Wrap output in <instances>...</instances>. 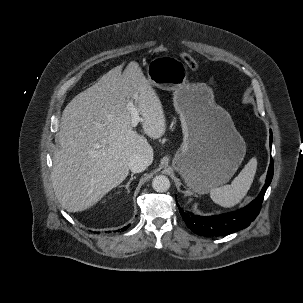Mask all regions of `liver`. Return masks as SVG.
<instances>
[{"label":"liver","instance_id":"6515ba94","mask_svg":"<svg viewBox=\"0 0 303 303\" xmlns=\"http://www.w3.org/2000/svg\"><path fill=\"white\" fill-rule=\"evenodd\" d=\"M129 101L136 104L145 134L162 137L166 119L161 101L136 61L123 72L122 65L111 69L65 107L52 182L68 212L88 209L122 183L133 156L142 155L152 163L153 148L131 126Z\"/></svg>","mask_w":303,"mask_h":303}]
</instances>
